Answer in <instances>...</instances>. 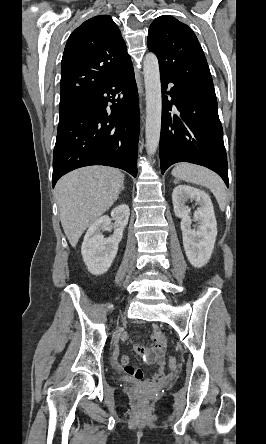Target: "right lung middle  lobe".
<instances>
[{"instance_id": "right-lung-middle-lobe-1", "label": "right lung middle lobe", "mask_w": 266, "mask_h": 444, "mask_svg": "<svg viewBox=\"0 0 266 444\" xmlns=\"http://www.w3.org/2000/svg\"><path fill=\"white\" fill-rule=\"evenodd\" d=\"M86 97H73L67 99H61L59 105V114L60 116L64 115L72 108L77 106L80 102H82Z\"/></svg>"}]
</instances>
